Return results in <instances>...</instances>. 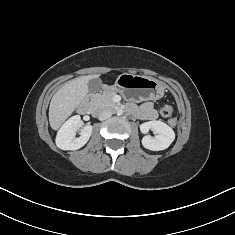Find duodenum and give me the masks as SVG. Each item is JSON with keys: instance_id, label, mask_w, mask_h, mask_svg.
<instances>
[{"instance_id": "1", "label": "duodenum", "mask_w": 235, "mask_h": 235, "mask_svg": "<svg viewBox=\"0 0 235 235\" xmlns=\"http://www.w3.org/2000/svg\"><path fill=\"white\" fill-rule=\"evenodd\" d=\"M92 98H93V95H88L85 98V100L82 102V104L79 107L80 111L85 112V113L93 112Z\"/></svg>"}]
</instances>
